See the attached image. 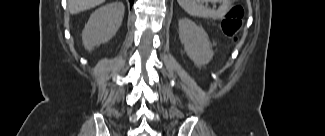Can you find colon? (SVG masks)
I'll return each instance as SVG.
<instances>
[{"mask_svg": "<svg viewBox=\"0 0 325 136\" xmlns=\"http://www.w3.org/2000/svg\"><path fill=\"white\" fill-rule=\"evenodd\" d=\"M244 10L240 5L232 6L222 22L223 31L229 36H235L242 27ZM235 39H237L235 37Z\"/></svg>", "mask_w": 325, "mask_h": 136, "instance_id": "obj_1", "label": "colon"}]
</instances>
